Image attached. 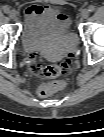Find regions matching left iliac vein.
<instances>
[{
  "instance_id": "obj_1",
  "label": "left iliac vein",
  "mask_w": 104,
  "mask_h": 137,
  "mask_svg": "<svg viewBox=\"0 0 104 137\" xmlns=\"http://www.w3.org/2000/svg\"><path fill=\"white\" fill-rule=\"evenodd\" d=\"M88 17H89V10L83 9V10L81 11V18H82V19H87Z\"/></svg>"
}]
</instances>
